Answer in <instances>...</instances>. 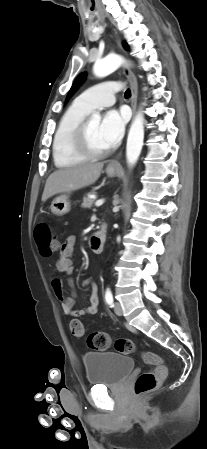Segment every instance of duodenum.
<instances>
[{
    "label": "duodenum",
    "instance_id": "duodenum-1",
    "mask_svg": "<svg viewBox=\"0 0 207 449\" xmlns=\"http://www.w3.org/2000/svg\"><path fill=\"white\" fill-rule=\"evenodd\" d=\"M105 241H106L105 226H101V228L90 237L91 249L95 253L102 252L105 245Z\"/></svg>",
    "mask_w": 207,
    "mask_h": 449
}]
</instances>
